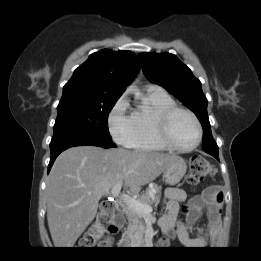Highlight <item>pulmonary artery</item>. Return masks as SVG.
Wrapping results in <instances>:
<instances>
[{"instance_id":"1","label":"pulmonary artery","mask_w":261,"mask_h":261,"mask_svg":"<svg viewBox=\"0 0 261 261\" xmlns=\"http://www.w3.org/2000/svg\"><path fill=\"white\" fill-rule=\"evenodd\" d=\"M148 89H149V90H161V88L158 87V86H156V85H149V86H148Z\"/></svg>"}]
</instances>
